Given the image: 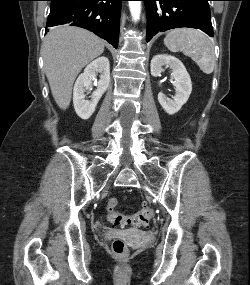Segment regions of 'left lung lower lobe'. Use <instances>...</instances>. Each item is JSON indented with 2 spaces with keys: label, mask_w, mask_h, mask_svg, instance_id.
<instances>
[{
  "label": "left lung lower lobe",
  "mask_w": 250,
  "mask_h": 285,
  "mask_svg": "<svg viewBox=\"0 0 250 285\" xmlns=\"http://www.w3.org/2000/svg\"><path fill=\"white\" fill-rule=\"evenodd\" d=\"M147 13L146 41L158 32L178 27L197 28L213 37L208 1L142 0Z\"/></svg>",
  "instance_id": "obj_1"
}]
</instances>
